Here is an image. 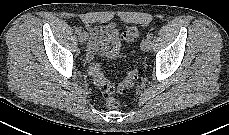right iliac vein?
Returning <instances> with one entry per match:
<instances>
[{
  "instance_id": "63e3f726",
  "label": "right iliac vein",
  "mask_w": 229,
  "mask_h": 135,
  "mask_svg": "<svg viewBox=\"0 0 229 135\" xmlns=\"http://www.w3.org/2000/svg\"><path fill=\"white\" fill-rule=\"evenodd\" d=\"M88 39V34L86 32H82L79 34V41L81 43H85Z\"/></svg>"
}]
</instances>
